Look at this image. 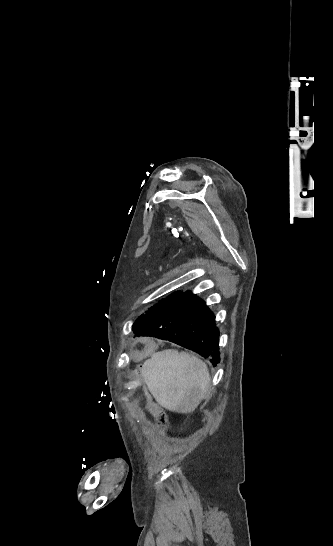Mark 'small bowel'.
I'll list each match as a JSON object with an SVG mask.
<instances>
[{
    "label": "small bowel",
    "mask_w": 333,
    "mask_h": 546,
    "mask_svg": "<svg viewBox=\"0 0 333 546\" xmlns=\"http://www.w3.org/2000/svg\"><path fill=\"white\" fill-rule=\"evenodd\" d=\"M143 341V354H137L135 356V359L137 361H143V360H148L150 357L148 355H154L155 354V348L158 346V341L156 339H150V340H146L145 338L142 340Z\"/></svg>",
    "instance_id": "small-bowel-1"
}]
</instances>
